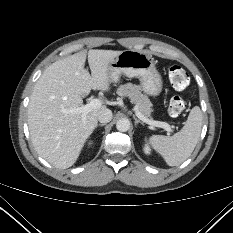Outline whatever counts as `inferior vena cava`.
<instances>
[{
    "label": "inferior vena cava",
    "mask_w": 233,
    "mask_h": 233,
    "mask_svg": "<svg viewBox=\"0 0 233 233\" xmlns=\"http://www.w3.org/2000/svg\"><path fill=\"white\" fill-rule=\"evenodd\" d=\"M112 111L110 109H103L98 114V121L101 123H108L112 119Z\"/></svg>",
    "instance_id": "obj_1"
}]
</instances>
